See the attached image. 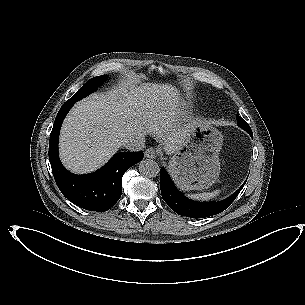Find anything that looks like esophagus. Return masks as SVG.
<instances>
[{
	"mask_svg": "<svg viewBox=\"0 0 305 305\" xmlns=\"http://www.w3.org/2000/svg\"><path fill=\"white\" fill-rule=\"evenodd\" d=\"M144 154L146 158L154 159L157 155V151L153 147H150L146 149Z\"/></svg>",
	"mask_w": 305,
	"mask_h": 305,
	"instance_id": "1",
	"label": "esophagus"
}]
</instances>
